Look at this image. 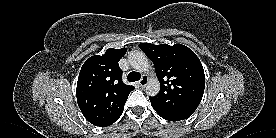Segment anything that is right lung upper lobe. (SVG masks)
Returning a JSON list of instances; mask_svg holds the SVG:
<instances>
[{
	"label": "right lung upper lobe",
	"instance_id": "1",
	"mask_svg": "<svg viewBox=\"0 0 276 138\" xmlns=\"http://www.w3.org/2000/svg\"><path fill=\"white\" fill-rule=\"evenodd\" d=\"M126 48H109L105 54L94 55L83 64L77 82V102L84 117L93 125L105 127L121 116L134 86L122 82L119 60Z\"/></svg>",
	"mask_w": 276,
	"mask_h": 138
}]
</instances>
